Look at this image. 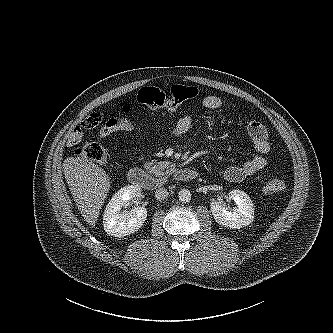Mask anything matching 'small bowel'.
Returning <instances> with one entry per match:
<instances>
[{
  "instance_id": "1",
  "label": "small bowel",
  "mask_w": 333,
  "mask_h": 333,
  "mask_svg": "<svg viewBox=\"0 0 333 333\" xmlns=\"http://www.w3.org/2000/svg\"><path fill=\"white\" fill-rule=\"evenodd\" d=\"M222 106L223 100L216 95L205 96L200 101V107L207 110H218ZM102 119V111L91 113L69 134L67 145H77L83 138V130L96 127ZM192 123L193 116L185 114L169 130V134L176 137L183 136L190 131ZM134 128L135 124L129 120L111 118L100 128L98 137L104 139L116 131L132 130ZM247 133L253 143L256 154L241 164L231 165L225 169L224 176L230 182L242 181L262 170L267 164L266 155L270 151V143L266 127L254 120L247 125Z\"/></svg>"
}]
</instances>
